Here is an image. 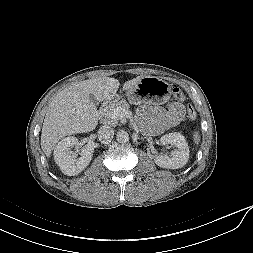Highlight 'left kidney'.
I'll list each match as a JSON object with an SVG mask.
<instances>
[{"instance_id": "5707ae66", "label": "left kidney", "mask_w": 253, "mask_h": 253, "mask_svg": "<svg viewBox=\"0 0 253 253\" xmlns=\"http://www.w3.org/2000/svg\"><path fill=\"white\" fill-rule=\"evenodd\" d=\"M162 144H171L176 149L171 152L170 157L167 155H157L155 163L166 169H179L186 165L189 159V147L185 137L180 133L165 134L160 138Z\"/></svg>"}]
</instances>
